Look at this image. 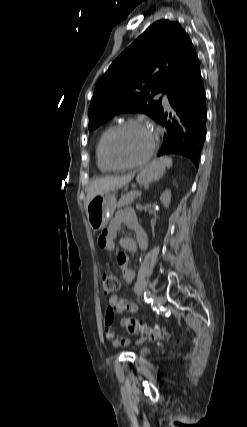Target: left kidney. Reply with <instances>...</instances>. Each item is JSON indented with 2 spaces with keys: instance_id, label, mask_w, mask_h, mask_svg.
<instances>
[{
  "instance_id": "left-kidney-1",
  "label": "left kidney",
  "mask_w": 247,
  "mask_h": 427,
  "mask_svg": "<svg viewBox=\"0 0 247 427\" xmlns=\"http://www.w3.org/2000/svg\"><path fill=\"white\" fill-rule=\"evenodd\" d=\"M160 201L165 208H168L171 202V191L166 189L160 196Z\"/></svg>"
}]
</instances>
